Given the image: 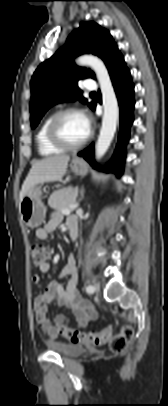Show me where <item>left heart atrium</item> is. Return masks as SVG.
Masks as SVG:
<instances>
[{
    "label": "left heart atrium",
    "mask_w": 168,
    "mask_h": 406,
    "mask_svg": "<svg viewBox=\"0 0 168 406\" xmlns=\"http://www.w3.org/2000/svg\"><path fill=\"white\" fill-rule=\"evenodd\" d=\"M83 116V120H84V124H85V127H86V130L88 131V133L90 132V129H91V122H90V119L86 116V115H82Z\"/></svg>",
    "instance_id": "39dd6f15"
}]
</instances>
